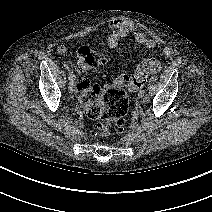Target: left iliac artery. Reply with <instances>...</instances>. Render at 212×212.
I'll use <instances>...</instances> for the list:
<instances>
[{"label":"left iliac artery","mask_w":212,"mask_h":212,"mask_svg":"<svg viewBox=\"0 0 212 212\" xmlns=\"http://www.w3.org/2000/svg\"><path fill=\"white\" fill-rule=\"evenodd\" d=\"M145 102L146 103H149V101H150V96L148 95V94H145Z\"/></svg>","instance_id":"left-iliac-artery-1"}]
</instances>
